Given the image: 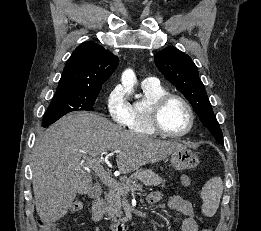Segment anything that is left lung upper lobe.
I'll use <instances>...</instances> for the list:
<instances>
[{
	"label": "left lung upper lobe",
	"instance_id": "1",
	"mask_svg": "<svg viewBox=\"0 0 261 231\" xmlns=\"http://www.w3.org/2000/svg\"><path fill=\"white\" fill-rule=\"evenodd\" d=\"M154 60L165 78L192 104L204 126L223 144L222 131L191 58L175 47H168L157 53Z\"/></svg>",
	"mask_w": 261,
	"mask_h": 231
}]
</instances>
